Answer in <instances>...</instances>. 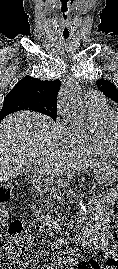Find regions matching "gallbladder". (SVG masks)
Wrapping results in <instances>:
<instances>
[{"mask_svg":"<svg viewBox=\"0 0 118 269\" xmlns=\"http://www.w3.org/2000/svg\"><path fill=\"white\" fill-rule=\"evenodd\" d=\"M23 172H24L25 174H29V173H30V171L27 170V169H23Z\"/></svg>","mask_w":118,"mask_h":269,"instance_id":"obj_1","label":"gallbladder"}]
</instances>
